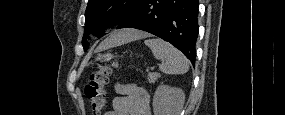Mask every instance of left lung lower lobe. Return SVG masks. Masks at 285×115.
Listing matches in <instances>:
<instances>
[{
	"mask_svg": "<svg viewBox=\"0 0 285 115\" xmlns=\"http://www.w3.org/2000/svg\"><path fill=\"white\" fill-rule=\"evenodd\" d=\"M198 0H138L118 23L154 34L178 48L194 65Z\"/></svg>",
	"mask_w": 285,
	"mask_h": 115,
	"instance_id": "obj_1",
	"label": "left lung lower lobe"
}]
</instances>
